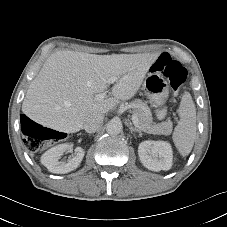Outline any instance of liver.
<instances>
[{
	"label": "liver",
	"instance_id": "obj_1",
	"mask_svg": "<svg viewBox=\"0 0 227 227\" xmlns=\"http://www.w3.org/2000/svg\"><path fill=\"white\" fill-rule=\"evenodd\" d=\"M158 54L95 55L70 50L52 53L29 85L22 111L33 121L65 133L83 128L86 118L108 113L135 96ZM117 77L112 97L96 100L108 79Z\"/></svg>",
	"mask_w": 227,
	"mask_h": 227
}]
</instances>
